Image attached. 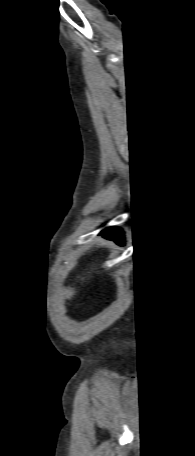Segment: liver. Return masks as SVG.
<instances>
[{"label":"liver","mask_w":195,"mask_h":456,"mask_svg":"<svg viewBox=\"0 0 195 456\" xmlns=\"http://www.w3.org/2000/svg\"><path fill=\"white\" fill-rule=\"evenodd\" d=\"M74 294H75V291L73 288L68 287V288L64 289V296L66 298H71Z\"/></svg>","instance_id":"6515ba94"}]
</instances>
